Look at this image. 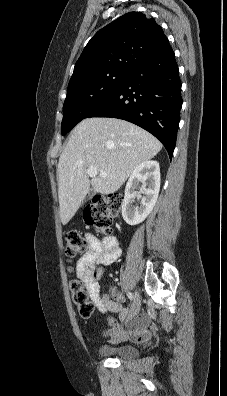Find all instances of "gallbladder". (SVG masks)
Wrapping results in <instances>:
<instances>
[{
  "mask_svg": "<svg viewBox=\"0 0 227 396\" xmlns=\"http://www.w3.org/2000/svg\"><path fill=\"white\" fill-rule=\"evenodd\" d=\"M94 194H95V191L93 189H91L88 196H93Z\"/></svg>",
  "mask_w": 227,
  "mask_h": 396,
  "instance_id": "bac80fb5",
  "label": "gallbladder"
}]
</instances>
